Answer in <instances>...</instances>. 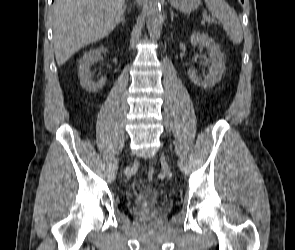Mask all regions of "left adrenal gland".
<instances>
[{"label":"left adrenal gland","instance_id":"1","mask_svg":"<svg viewBox=\"0 0 295 250\" xmlns=\"http://www.w3.org/2000/svg\"><path fill=\"white\" fill-rule=\"evenodd\" d=\"M170 14H171V21H173V19H174V12L172 11V9H170Z\"/></svg>","mask_w":295,"mask_h":250}]
</instances>
